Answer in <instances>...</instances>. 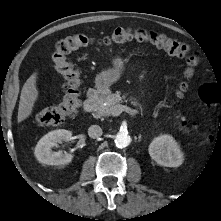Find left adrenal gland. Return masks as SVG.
<instances>
[{"label": "left adrenal gland", "mask_w": 221, "mask_h": 221, "mask_svg": "<svg viewBox=\"0 0 221 221\" xmlns=\"http://www.w3.org/2000/svg\"><path fill=\"white\" fill-rule=\"evenodd\" d=\"M141 141V135H139V137H138V142H140Z\"/></svg>", "instance_id": "1"}]
</instances>
